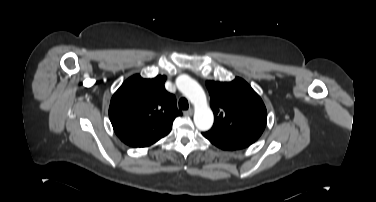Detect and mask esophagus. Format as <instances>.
Segmentation results:
<instances>
[{
	"instance_id": "34e87169",
	"label": "esophagus",
	"mask_w": 376,
	"mask_h": 202,
	"mask_svg": "<svg viewBox=\"0 0 376 202\" xmlns=\"http://www.w3.org/2000/svg\"><path fill=\"white\" fill-rule=\"evenodd\" d=\"M192 114H193V110L192 109L184 111V115H186V116H191Z\"/></svg>"
}]
</instances>
